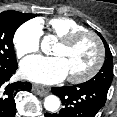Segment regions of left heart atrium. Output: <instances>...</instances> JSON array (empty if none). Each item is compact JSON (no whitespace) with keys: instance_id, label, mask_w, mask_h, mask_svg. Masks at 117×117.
Listing matches in <instances>:
<instances>
[{"instance_id":"39dd6f15","label":"left heart atrium","mask_w":117,"mask_h":117,"mask_svg":"<svg viewBox=\"0 0 117 117\" xmlns=\"http://www.w3.org/2000/svg\"><path fill=\"white\" fill-rule=\"evenodd\" d=\"M21 72L27 79L42 84H54L67 77L63 61L56 56L29 57L22 62Z\"/></svg>"}]
</instances>
